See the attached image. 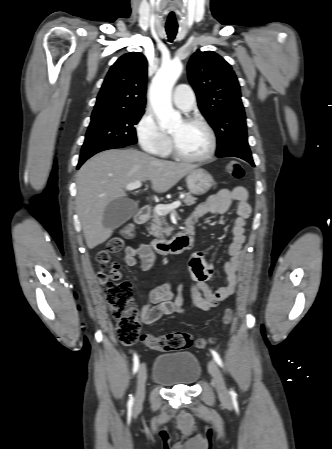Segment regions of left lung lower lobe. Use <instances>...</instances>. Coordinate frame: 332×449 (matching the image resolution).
<instances>
[{
    "label": "left lung lower lobe",
    "instance_id": "0a47b994",
    "mask_svg": "<svg viewBox=\"0 0 332 449\" xmlns=\"http://www.w3.org/2000/svg\"><path fill=\"white\" fill-rule=\"evenodd\" d=\"M217 156L218 157H226V156L238 157V158H241V159L249 162L252 166H255L253 159H252V155H246V154H241V153H229V154H222V155H217Z\"/></svg>",
    "mask_w": 332,
    "mask_h": 449
}]
</instances>
